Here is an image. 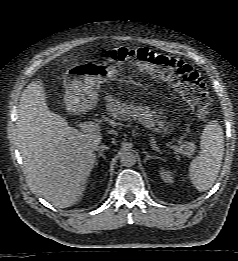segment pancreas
I'll list each match as a JSON object with an SVG mask.
<instances>
[{
    "label": "pancreas",
    "mask_w": 238,
    "mask_h": 261,
    "mask_svg": "<svg viewBox=\"0 0 238 261\" xmlns=\"http://www.w3.org/2000/svg\"><path fill=\"white\" fill-rule=\"evenodd\" d=\"M106 109L108 115L115 120H135L148 129H152L155 125V121L152 119L150 113L140 106L126 105L124 103L116 101L115 99L108 98ZM178 143L180 144L181 148L190 155H192L196 150L195 144L192 142L184 141L183 137L179 139Z\"/></svg>",
    "instance_id": "cf45deb5"
}]
</instances>
